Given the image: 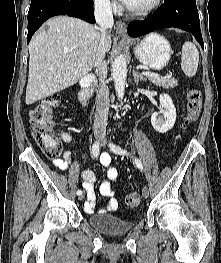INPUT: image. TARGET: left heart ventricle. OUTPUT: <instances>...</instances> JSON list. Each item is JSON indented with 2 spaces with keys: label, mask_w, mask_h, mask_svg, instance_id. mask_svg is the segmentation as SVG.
<instances>
[{
  "label": "left heart ventricle",
  "mask_w": 221,
  "mask_h": 263,
  "mask_svg": "<svg viewBox=\"0 0 221 263\" xmlns=\"http://www.w3.org/2000/svg\"><path fill=\"white\" fill-rule=\"evenodd\" d=\"M154 0H131L128 4L131 7H144Z\"/></svg>",
  "instance_id": "obj_1"
}]
</instances>
